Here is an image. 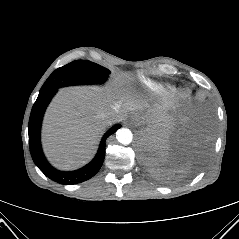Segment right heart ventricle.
Masks as SVG:
<instances>
[{"label":"right heart ventricle","instance_id":"1","mask_svg":"<svg viewBox=\"0 0 239 239\" xmlns=\"http://www.w3.org/2000/svg\"><path fill=\"white\" fill-rule=\"evenodd\" d=\"M144 83L149 88H154L155 87L154 84H152V83H149V82H146V81Z\"/></svg>","mask_w":239,"mask_h":239}]
</instances>
